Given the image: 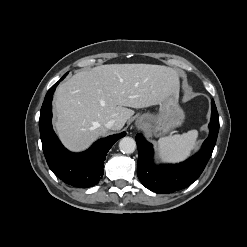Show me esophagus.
Returning a JSON list of instances; mask_svg holds the SVG:
<instances>
[{
  "label": "esophagus",
  "mask_w": 247,
  "mask_h": 247,
  "mask_svg": "<svg viewBox=\"0 0 247 247\" xmlns=\"http://www.w3.org/2000/svg\"><path fill=\"white\" fill-rule=\"evenodd\" d=\"M140 124H141V123H139V122L137 123L138 127H140V126H141Z\"/></svg>",
  "instance_id": "34e87169"
}]
</instances>
